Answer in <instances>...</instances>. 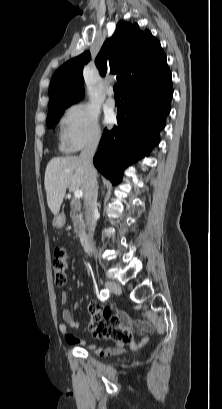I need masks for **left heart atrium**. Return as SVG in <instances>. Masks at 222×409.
<instances>
[{"label":"left heart atrium","instance_id":"39dd6f15","mask_svg":"<svg viewBox=\"0 0 222 409\" xmlns=\"http://www.w3.org/2000/svg\"><path fill=\"white\" fill-rule=\"evenodd\" d=\"M112 120H113V117H112V115H107V116H106V119H105V121H106L107 123H110V122H112Z\"/></svg>","mask_w":222,"mask_h":409}]
</instances>
